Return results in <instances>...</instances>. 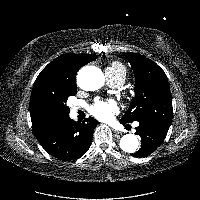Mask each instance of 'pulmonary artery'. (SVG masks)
Returning <instances> with one entry per match:
<instances>
[{
    "label": "pulmonary artery",
    "mask_w": 200,
    "mask_h": 200,
    "mask_svg": "<svg viewBox=\"0 0 200 200\" xmlns=\"http://www.w3.org/2000/svg\"><path fill=\"white\" fill-rule=\"evenodd\" d=\"M107 79H108L109 84L113 87H120L123 84V82L121 80H114L108 76H107ZM77 109H78V107H75L74 111H76Z\"/></svg>",
    "instance_id": "obj_1"
}]
</instances>
